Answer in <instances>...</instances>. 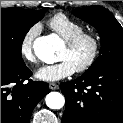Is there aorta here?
Here are the masks:
<instances>
[{
    "instance_id": "obj_1",
    "label": "aorta",
    "mask_w": 123,
    "mask_h": 123,
    "mask_svg": "<svg viewBox=\"0 0 123 123\" xmlns=\"http://www.w3.org/2000/svg\"><path fill=\"white\" fill-rule=\"evenodd\" d=\"M58 40L52 36H41L33 42L35 55L45 63H54L56 61V52L59 50ZM46 105L50 109H60L65 104L64 96L59 92H50L45 98Z\"/></svg>"
}]
</instances>
